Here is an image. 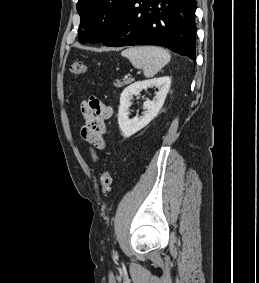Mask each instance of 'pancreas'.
Returning <instances> with one entry per match:
<instances>
[{
  "instance_id": "cf45deb5",
  "label": "pancreas",
  "mask_w": 259,
  "mask_h": 283,
  "mask_svg": "<svg viewBox=\"0 0 259 283\" xmlns=\"http://www.w3.org/2000/svg\"><path fill=\"white\" fill-rule=\"evenodd\" d=\"M132 81H133L132 78H127V79H124L123 81H121V80H116V82H114V85H115L116 87H123L124 85L130 84Z\"/></svg>"
}]
</instances>
